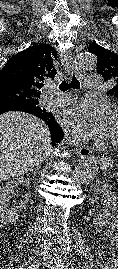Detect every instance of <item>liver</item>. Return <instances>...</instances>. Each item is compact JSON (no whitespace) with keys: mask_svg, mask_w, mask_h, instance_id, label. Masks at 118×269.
Here are the masks:
<instances>
[{"mask_svg":"<svg viewBox=\"0 0 118 269\" xmlns=\"http://www.w3.org/2000/svg\"><path fill=\"white\" fill-rule=\"evenodd\" d=\"M51 152L44 121L22 112L0 115V181L23 176Z\"/></svg>","mask_w":118,"mask_h":269,"instance_id":"6515ba94","label":"liver"}]
</instances>
